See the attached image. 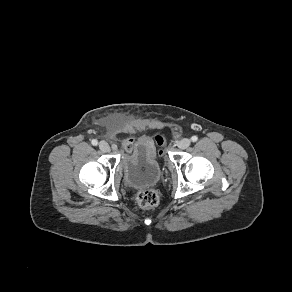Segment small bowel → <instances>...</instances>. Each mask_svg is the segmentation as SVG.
Here are the masks:
<instances>
[{
  "mask_svg": "<svg viewBox=\"0 0 292 292\" xmlns=\"http://www.w3.org/2000/svg\"><path fill=\"white\" fill-rule=\"evenodd\" d=\"M158 137L156 138L157 141ZM125 149L128 154H134L138 149H141L146 158L155 156L154 140L151 137H140L136 141L128 139L124 143Z\"/></svg>",
  "mask_w": 292,
  "mask_h": 292,
  "instance_id": "1",
  "label": "small bowel"
}]
</instances>
